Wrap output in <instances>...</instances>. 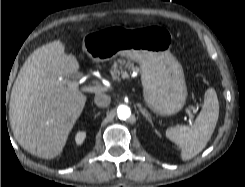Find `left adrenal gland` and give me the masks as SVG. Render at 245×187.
<instances>
[{"label": "left adrenal gland", "mask_w": 245, "mask_h": 187, "mask_svg": "<svg viewBox=\"0 0 245 187\" xmlns=\"http://www.w3.org/2000/svg\"><path fill=\"white\" fill-rule=\"evenodd\" d=\"M139 109H140L142 115L150 122L151 125H153L152 120H151V117L149 116V114L147 113V111H145V109H143L141 107V105H139Z\"/></svg>", "instance_id": "obj_1"}]
</instances>
